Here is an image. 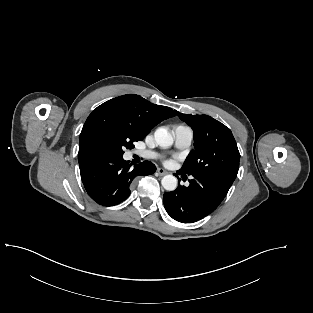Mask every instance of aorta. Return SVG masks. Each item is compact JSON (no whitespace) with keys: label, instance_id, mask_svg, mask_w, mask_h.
<instances>
[{"label":"aorta","instance_id":"1","mask_svg":"<svg viewBox=\"0 0 313 313\" xmlns=\"http://www.w3.org/2000/svg\"><path fill=\"white\" fill-rule=\"evenodd\" d=\"M156 143L163 148H168L173 144L172 135L165 128H158L154 133ZM161 184L167 191L177 188V178L173 175H166L162 178Z\"/></svg>","mask_w":313,"mask_h":313}]
</instances>
